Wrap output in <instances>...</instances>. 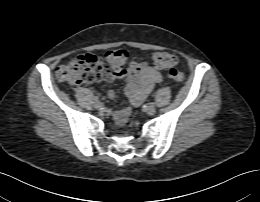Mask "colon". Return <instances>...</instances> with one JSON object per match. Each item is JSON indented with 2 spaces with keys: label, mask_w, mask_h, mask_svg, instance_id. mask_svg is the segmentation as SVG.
Instances as JSON below:
<instances>
[{
  "label": "colon",
  "mask_w": 260,
  "mask_h": 202,
  "mask_svg": "<svg viewBox=\"0 0 260 202\" xmlns=\"http://www.w3.org/2000/svg\"><path fill=\"white\" fill-rule=\"evenodd\" d=\"M129 53L124 49L109 51L104 57L96 54H83L73 58L56 70V80L72 86L101 81L111 68H124ZM153 64L158 69H166L169 79L182 82L184 74L177 70L178 57L170 52L159 51L153 55Z\"/></svg>",
  "instance_id": "1"
}]
</instances>
